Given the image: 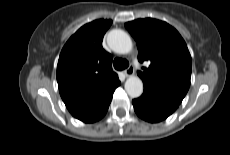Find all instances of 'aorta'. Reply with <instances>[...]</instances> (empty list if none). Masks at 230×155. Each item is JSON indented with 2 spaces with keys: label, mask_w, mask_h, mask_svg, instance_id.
Instances as JSON below:
<instances>
[{
  "label": "aorta",
  "mask_w": 230,
  "mask_h": 155,
  "mask_svg": "<svg viewBox=\"0 0 230 155\" xmlns=\"http://www.w3.org/2000/svg\"><path fill=\"white\" fill-rule=\"evenodd\" d=\"M107 42L111 49L118 54H127L133 47L130 36L120 29L110 31ZM125 90L131 98L141 96L143 93L142 80L137 76H130L125 82Z\"/></svg>",
  "instance_id": "1"
}]
</instances>
